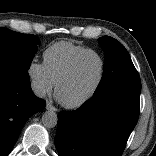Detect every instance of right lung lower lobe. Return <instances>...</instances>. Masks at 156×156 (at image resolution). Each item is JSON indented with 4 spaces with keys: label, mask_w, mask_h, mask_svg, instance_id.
Here are the masks:
<instances>
[{
    "label": "right lung lower lobe",
    "mask_w": 156,
    "mask_h": 156,
    "mask_svg": "<svg viewBox=\"0 0 156 156\" xmlns=\"http://www.w3.org/2000/svg\"><path fill=\"white\" fill-rule=\"evenodd\" d=\"M45 105L33 94L29 76L0 70V156L10 153L26 121Z\"/></svg>",
    "instance_id": "obj_1"
}]
</instances>
